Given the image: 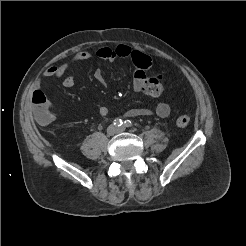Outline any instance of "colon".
I'll list each match as a JSON object with an SVG mask.
<instances>
[{"mask_svg": "<svg viewBox=\"0 0 246 246\" xmlns=\"http://www.w3.org/2000/svg\"><path fill=\"white\" fill-rule=\"evenodd\" d=\"M131 59L137 70L143 73H145L152 64L151 58L148 55L137 50L132 52ZM142 92L146 95L157 97L165 92V86L160 77H146L142 84ZM32 103L36 117L43 120L46 117L45 99L41 94L34 92L32 95ZM189 122L190 115L188 113L180 114L175 120V124L179 128L186 127Z\"/></svg>", "mask_w": 246, "mask_h": 246, "instance_id": "obj_1", "label": "colon"}]
</instances>
